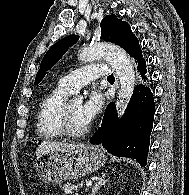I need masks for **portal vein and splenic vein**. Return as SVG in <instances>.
Returning <instances> with one entry per match:
<instances>
[{
	"label": "portal vein and splenic vein",
	"instance_id": "18ae733b",
	"mask_svg": "<svg viewBox=\"0 0 189 195\" xmlns=\"http://www.w3.org/2000/svg\"><path fill=\"white\" fill-rule=\"evenodd\" d=\"M86 186H87V187L92 186V181L86 182Z\"/></svg>",
	"mask_w": 189,
	"mask_h": 195
}]
</instances>
